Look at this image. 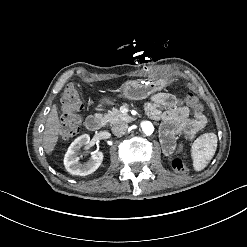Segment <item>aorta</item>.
<instances>
[{"label":"aorta","instance_id":"762f6f07","mask_svg":"<svg viewBox=\"0 0 247 247\" xmlns=\"http://www.w3.org/2000/svg\"><path fill=\"white\" fill-rule=\"evenodd\" d=\"M141 129L145 135L150 136L154 131V126L149 121H143L141 123Z\"/></svg>","mask_w":247,"mask_h":247}]
</instances>
